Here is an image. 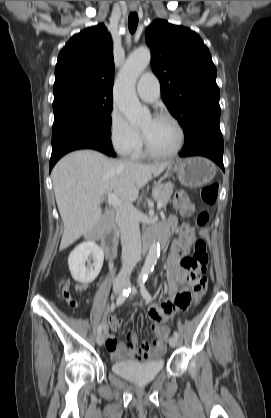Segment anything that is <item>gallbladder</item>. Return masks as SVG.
<instances>
[{"mask_svg": "<svg viewBox=\"0 0 271 418\" xmlns=\"http://www.w3.org/2000/svg\"><path fill=\"white\" fill-rule=\"evenodd\" d=\"M103 228H104V222H103V220L101 219V220L97 223V225L93 228V230H92L91 232H89V233H88V235H89L90 237L97 236V235H99V234L103 231Z\"/></svg>", "mask_w": 271, "mask_h": 418, "instance_id": "obj_1", "label": "gallbladder"}]
</instances>
